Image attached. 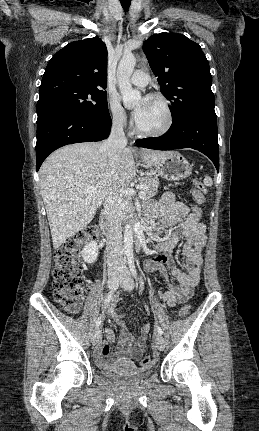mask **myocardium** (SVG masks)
Returning a JSON list of instances; mask_svg holds the SVG:
<instances>
[{"mask_svg": "<svg viewBox=\"0 0 259 431\" xmlns=\"http://www.w3.org/2000/svg\"><path fill=\"white\" fill-rule=\"evenodd\" d=\"M148 99H153V100L160 102V104L162 105L164 112H165V122H164L163 126L156 131H144L138 127V125L135 121L134 125H133L134 132L137 135H139L141 137H146V138L161 137V136L165 135L171 129L172 124H173V112L171 109L170 102L166 96H164L163 94L158 93V92H154V93L149 94Z\"/></svg>", "mask_w": 259, "mask_h": 431, "instance_id": "obj_1", "label": "myocardium"}]
</instances>
